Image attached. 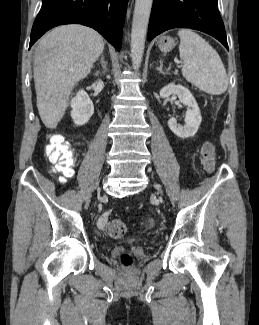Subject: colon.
<instances>
[{"label":"colon","mask_w":259,"mask_h":325,"mask_svg":"<svg viewBox=\"0 0 259 325\" xmlns=\"http://www.w3.org/2000/svg\"><path fill=\"white\" fill-rule=\"evenodd\" d=\"M46 155L54 165V170L61 174L60 178L66 180L74 173L77 163L75 149L60 135L51 136L46 148ZM202 163L204 168L211 172L215 165V147L212 143H205L201 149ZM104 229L112 238H121L126 232V225L118 219H107ZM121 264L124 267H131L134 263L133 257L129 253H122Z\"/></svg>","instance_id":"5ec220e1"}]
</instances>
